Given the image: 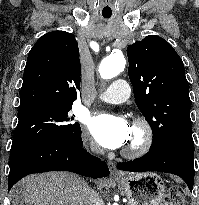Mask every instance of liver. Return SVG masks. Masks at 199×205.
I'll return each mask as SVG.
<instances>
[{
	"mask_svg": "<svg viewBox=\"0 0 199 205\" xmlns=\"http://www.w3.org/2000/svg\"><path fill=\"white\" fill-rule=\"evenodd\" d=\"M20 205H88L84 188L86 182L68 172H48L26 177ZM101 189V185H99Z\"/></svg>",
	"mask_w": 199,
	"mask_h": 205,
	"instance_id": "obj_1",
	"label": "liver"
}]
</instances>
